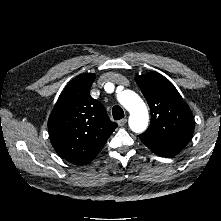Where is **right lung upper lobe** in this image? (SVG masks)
I'll list each match as a JSON object with an SVG mask.
<instances>
[{
	"mask_svg": "<svg viewBox=\"0 0 221 221\" xmlns=\"http://www.w3.org/2000/svg\"><path fill=\"white\" fill-rule=\"evenodd\" d=\"M95 74L74 78L63 90L48 120L55 151L79 165L92 161L118 126L104 106L90 96Z\"/></svg>",
	"mask_w": 221,
	"mask_h": 221,
	"instance_id": "1",
	"label": "right lung upper lobe"
}]
</instances>
